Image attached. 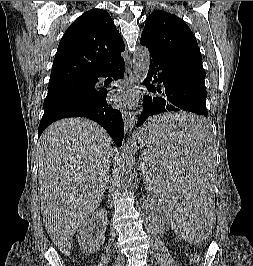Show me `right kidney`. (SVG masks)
I'll return each mask as SVG.
<instances>
[{"label":"right kidney","instance_id":"obj_1","mask_svg":"<svg viewBox=\"0 0 253 266\" xmlns=\"http://www.w3.org/2000/svg\"><path fill=\"white\" fill-rule=\"evenodd\" d=\"M95 224L93 219H86L77 230V239L80 249L86 254H92L101 249L104 243V232L94 235Z\"/></svg>","mask_w":253,"mask_h":266}]
</instances>
